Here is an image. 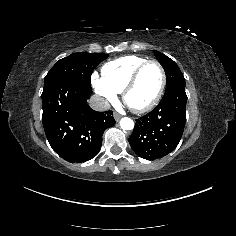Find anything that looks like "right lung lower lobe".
<instances>
[{"label": "right lung lower lobe", "mask_w": 236, "mask_h": 236, "mask_svg": "<svg viewBox=\"0 0 236 236\" xmlns=\"http://www.w3.org/2000/svg\"><path fill=\"white\" fill-rule=\"evenodd\" d=\"M91 89L72 81L44 88L42 122L53 150L64 160L85 162L97 155L102 134L115 124L111 111L97 112L87 105Z\"/></svg>", "instance_id": "right-lung-lower-lobe-1"}]
</instances>
